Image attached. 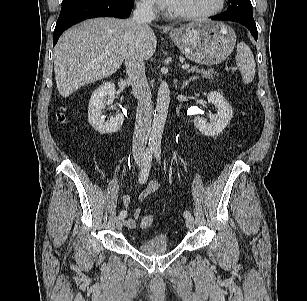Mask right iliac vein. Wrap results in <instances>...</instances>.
Segmentation results:
<instances>
[{
    "instance_id": "right-iliac-vein-1",
    "label": "right iliac vein",
    "mask_w": 307,
    "mask_h": 301,
    "mask_svg": "<svg viewBox=\"0 0 307 301\" xmlns=\"http://www.w3.org/2000/svg\"><path fill=\"white\" fill-rule=\"evenodd\" d=\"M137 164H138L139 167H142V160H141V158H137ZM123 224H124V217L118 216L116 218V226H117V228L119 230L122 229Z\"/></svg>"
}]
</instances>
